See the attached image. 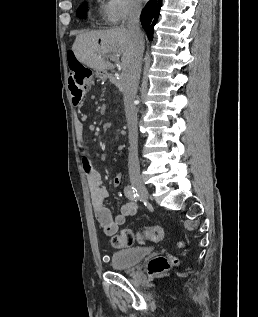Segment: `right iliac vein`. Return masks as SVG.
Masks as SVG:
<instances>
[{
    "label": "right iliac vein",
    "instance_id": "1",
    "mask_svg": "<svg viewBox=\"0 0 258 317\" xmlns=\"http://www.w3.org/2000/svg\"><path fill=\"white\" fill-rule=\"evenodd\" d=\"M131 184L137 189L140 197L149 200L150 194L142 179H132Z\"/></svg>",
    "mask_w": 258,
    "mask_h": 317
}]
</instances>
